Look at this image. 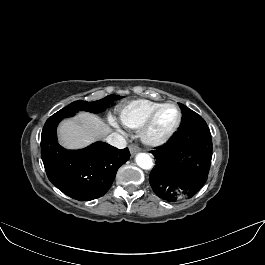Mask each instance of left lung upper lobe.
I'll return each mask as SVG.
<instances>
[{
  "label": "left lung upper lobe",
  "mask_w": 265,
  "mask_h": 265,
  "mask_svg": "<svg viewBox=\"0 0 265 265\" xmlns=\"http://www.w3.org/2000/svg\"><path fill=\"white\" fill-rule=\"evenodd\" d=\"M179 106L182 110V120L178 130H185L201 121H204V119L200 115H198L196 112L192 111L185 105L179 103Z\"/></svg>",
  "instance_id": "5c2ea615"
}]
</instances>
